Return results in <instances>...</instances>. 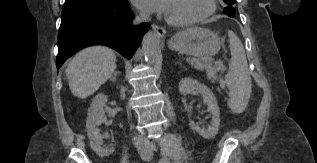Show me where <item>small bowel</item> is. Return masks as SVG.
Instances as JSON below:
<instances>
[{
  "instance_id": "c3829d8e",
  "label": "small bowel",
  "mask_w": 317,
  "mask_h": 163,
  "mask_svg": "<svg viewBox=\"0 0 317 163\" xmlns=\"http://www.w3.org/2000/svg\"><path fill=\"white\" fill-rule=\"evenodd\" d=\"M179 157V155L175 154L174 155V159H177ZM177 161V163H182L183 160H175ZM160 163H170V160L168 157H164L162 160H160Z\"/></svg>"
}]
</instances>
